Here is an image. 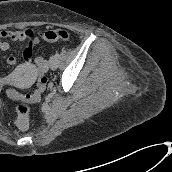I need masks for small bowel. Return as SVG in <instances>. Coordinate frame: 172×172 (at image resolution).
I'll list each match as a JSON object with an SVG mask.
<instances>
[{
  "mask_svg": "<svg viewBox=\"0 0 172 172\" xmlns=\"http://www.w3.org/2000/svg\"><path fill=\"white\" fill-rule=\"evenodd\" d=\"M45 32L35 34L30 29L23 30H1L0 31V50L6 51L10 48L12 42H26L27 46L23 50V58L25 65H31L32 57L35 53L36 46L40 39L47 41L44 38ZM7 64L15 66L17 59L13 56L7 58Z\"/></svg>",
  "mask_w": 172,
  "mask_h": 172,
  "instance_id": "obj_1",
  "label": "small bowel"
}]
</instances>
